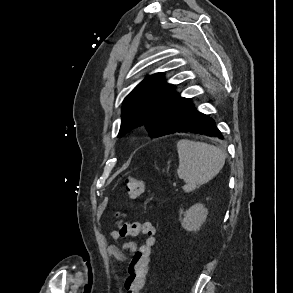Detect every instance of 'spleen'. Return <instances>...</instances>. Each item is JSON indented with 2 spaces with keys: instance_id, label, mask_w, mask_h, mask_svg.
Here are the masks:
<instances>
[{
  "instance_id": "1",
  "label": "spleen",
  "mask_w": 293,
  "mask_h": 293,
  "mask_svg": "<svg viewBox=\"0 0 293 293\" xmlns=\"http://www.w3.org/2000/svg\"><path fill=\"white\" fill-rule=\"evenodd\" d=\"M179 157L178 177L186 184V193L206 184L223 168L225 152L214 145L182 139L177 143Z\"/></svg>"
}]
</instances>
